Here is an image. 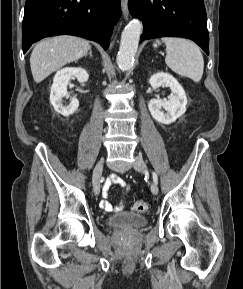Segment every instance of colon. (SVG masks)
<instances>
[{
	"label": "colon",
	"instance_id": "obj_1",
	"mask_svg": "<svg viewBox=\"0 0 243 289\" xmlns=\"http://www.w3.org/2000/svg\"><path fill=\"white\" fill-rule=\"evenodd\" d=\"M149 206H148V203L145 202V201H137L135 204H134V209L135 211L139 212V213H144L148 210Z\"/></svg>",
	"mask_w": 243,
	"mask_h": 289
}]
</instances>
